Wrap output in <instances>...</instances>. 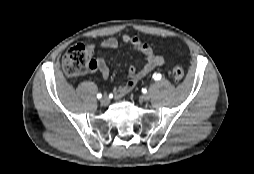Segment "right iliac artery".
Wrapping results in <instances>:
<instances>
[{"instance_id": "82829eb1", "label": "right iliac artery", "mask_w": 254, "mask_h": 174, "mask_svg": "<svg viewBox=\"0 0 254 174\" xmlns=\"http://www.w3.org/2000/svg\"><path fill=\"white\" fill-rule=\"evenodd\" d=\"M102 97V95L99 93L97 94V98L100 99Z\"/></svg>"}]
</instances>
